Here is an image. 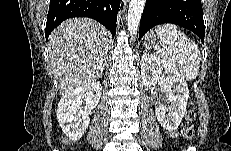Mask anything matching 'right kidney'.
I'll list each match as a JSON object with an SVG mask.
<instances>
[{"label": "right kidney", "instance_id": "ca27d5eb", "mask_svg": "<svg viewBox=\"0 0 231 151\" xmlns=\"http://www.w3.org/2000/svg\"><path fill=\"white\" fill-rule=\"evenodd\" d=\"M101 97L100 82L87 83L62 97L57 108V119L66 136L74 141L82 138L90 123L89 115ZM82 100L85 106L82 108Z\"/></svg>", "mask_w": 231, "mask_h": 151}]
</instances>
